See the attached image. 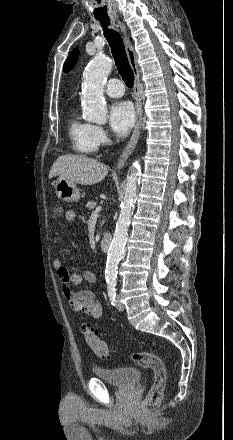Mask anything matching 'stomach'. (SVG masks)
Masks as SVG:
<instances>
[{
  "label": "stomach",
  "instance_id": "0dacf381",
  "mask_svg": "<svg viewBox=\"0 0 233 440\" xmlns=\"http://www.w3.org/2000/svg\"><path fill=\"white\" fill-rule=\"evenodd\" d=\"M56 195L65 202H78L80 200V191L76 183L60 176L54 185Z\"/></svg>",
  "mask_w": 233,
  "mask_h": 440
}]
</instances>
